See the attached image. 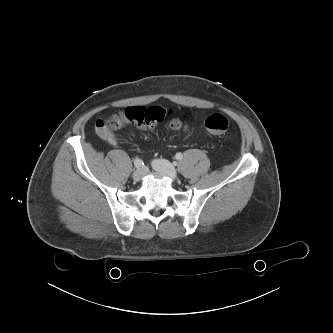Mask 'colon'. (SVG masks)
<instances>
[{"label": "colon", "instance_id": "5ec220e1", "mask_svg": "<svg viewBox=\"0 0 333 333\" xmlns=\"http://www.w3.org/2000/svg\"><path fill=\"white\" fill-rule=\"evenodd\" d=\"M125 121L123 113L113 114L105 119L97 120L95 123L96 133L108 139L113 131L117 130ZM169 126L173 130H178L183 127V124L178 119H171ZM206 131L213 136L224 134L229 127L228 119L222 114H212L204 123Z\"/></svg>", "mask_w": 333, "mask_h": 333}]
</instances>
